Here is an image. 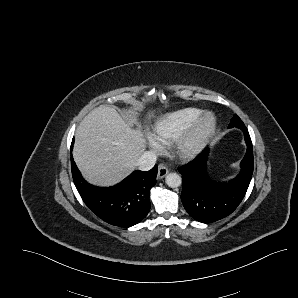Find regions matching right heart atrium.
<instances>
[{"label":"right heart atrium","mask_w":298,"mask_h":298,"mask_svg":"<svg viewBox=\"0 0 298 298\" xmlns=\"http://www.w3.org/2000/svg\"><path fill=\"white\" fill-rule=\"evenodd\" d=\"M146 143L154 153H161L166 148V140L158 131H151L146 136Z\"/></svg>","instance_id":"1"}]
</instances>
